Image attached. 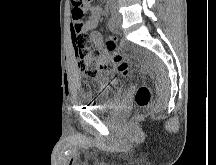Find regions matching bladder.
Here are the masks:
<instances>
[{
	"mask_svg": "<svg viewBox=\"0 0 216 165\" xmlns=\"http://www.w3.org/2000/svg\"><path fill=\"white\" fill-rule=\"evenodd\" d=\"M87 100L92 111H110V106L123 97L122 76H94V81H85Z\"/></svg>",
	"mask_w": 216,
	"mask_h": 165,
	"instance_id": "obj_1",
	"label": "bladder"
}]
</instances>
